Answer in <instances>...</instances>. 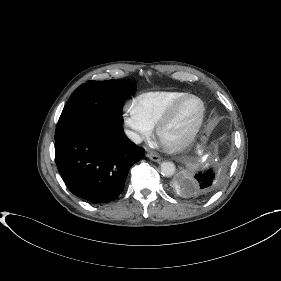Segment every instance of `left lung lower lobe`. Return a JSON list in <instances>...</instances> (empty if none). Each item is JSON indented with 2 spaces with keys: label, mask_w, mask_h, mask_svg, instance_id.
Returning <instances> with one entry per match:
<instances>
[{
  "label": "left lung lower lobe",
  "mask_w": 281,
  "mask_h": 281,
  "mask_svg": "<svg viewBox=\"0 0 281 281\" xmlns=\"http://www.w3.org/2000/svg\"><path fill=\"white\" fill-rule=\"evenodd\" d=\"M215 174L212 171L196 174L195 179L198 181L195 186L194 195L204 196L211 193L217 186Z\"/></svg>",
  "instance_id": "obj_1"
}]
</instances>
